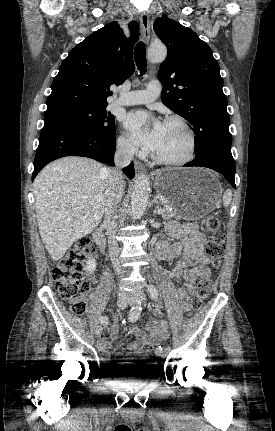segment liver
Segmentation results:
<instances>
[{"label":"liver","mask_w":275,"mask_h":431,"mask_svg":"<svg viewBox=\"0 0 275 431\" xmlns=\"http://www.w3.org/2000/svg\"><path fill=\"white\" fill-rule=\"evenodd\" d=\"M107 168L86 157H64L46 166L34 181L41 239L55 261L101 222Z\"/></svg>","instance_id":"6515ba94"}]
</instances>
